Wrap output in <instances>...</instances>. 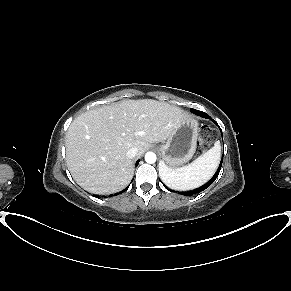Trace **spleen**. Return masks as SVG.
<instances>
[{
	"label": "spleen",
	"instance_id": "3e777b00",
	"mask_svg": "<svg viewBox=\"0 0 291 291\" xmlns=\"http://www.w3.org/2000/svg\"><path fill=\"white\" fill-rule=\"evenodd\" d=\"M220 158V143L198 157L191 164L171 169L162 164L159 167L161 180L171 189L186 191L202 186L215 173Z\"/></svg>",
	"mask_w": 291,
	"mask_h": 291
}]
</instances>
